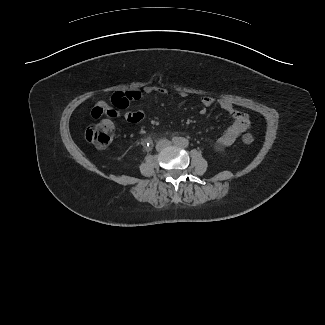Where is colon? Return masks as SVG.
Listing matches in <instances>:
<instances>
[{
  "label": "colon",
  "instance_id": "5ec220e1",
  "mask_svg": "<svg viewBox=\"0 0 325 325\" xmlns=\"http://www.w3.org/2000/svg\"><path fill=\"white\" fill-rule=\"evenodd\" d=\"M112 134L113 124L108 120L99 121L85 129L86 140L98 151H104L109 147ZM242 141L245 144H251L254 142V136L249 133L245 134L242 136Z\"/></svg>",
  "mask_w": 325,
  "mask_h": 325
}]
</instances>
